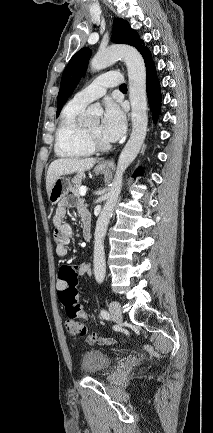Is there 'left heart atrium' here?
<instances>
[{"mask_svg": "<svg viewBox=\"0 0 213 433\" xmlns=\"http://www.w3.org/2000/svg\"><path fill=\"white\" fill-rule=\"evenodd\" d=\"M100 129L103 137L109 142L117 141L124 134L125 116L117 103L111 100L105 103Z\"/></svg>", "mask_w": 213, "mask_h": 433, "instance_id": "39dd6f15", "label": "left heart atrium"}]
</instances>
